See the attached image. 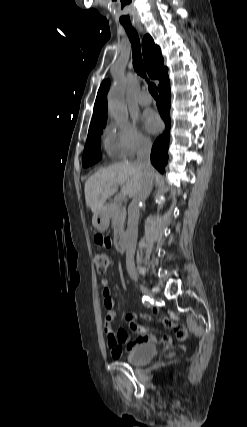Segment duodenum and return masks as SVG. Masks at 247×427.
Listing matches in <instances>:
<instances>
[{
	"mask_svg": "<svg viewBox=\"0 0 247 427\" xmlns=\"http://www.w3.org/2000/svg\"><path fill=\"white\" fill-rule=\"evenodd\" d=\"M117 245L119 247V249L121 250H125L127 247V240L126 237L123 233L119 234L117 237Z\"/></svg>",
	"mask_w": 247,
	"mask_h": 427,
	"instance_id": "1",
	"label": "duodenum"
}]
</instances>
